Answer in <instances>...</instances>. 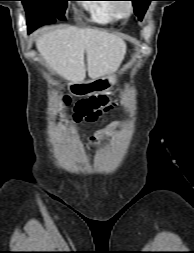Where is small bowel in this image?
Masks as SVG:
<instances>
[{
    "label": "small bowel",
    "instance_id": "small-bowel-1",
    "mask_svg": "<svg viewBox=\"0 0 194 253\" xmlns=\"http://www.w3.org/2000/svg\"><path fill=\"white\" fill-rule=\"evenodd\" d=\"M124 125V122L122 121H114L112 122L110 125H109V128L112 129V128H117V127H121ZM101 137V134L100 133H97L92 139H91V144H95L98 139Z\"/></svg>",
    "mask_w": 194,
    "mask_h": 253
}]
</instances>
